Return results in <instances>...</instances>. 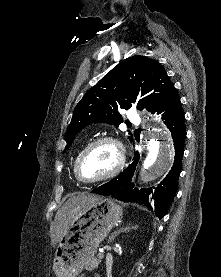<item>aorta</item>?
<instances>
[{
  "instance_id": "obj_1",
  "label": "aorta",
  "mask_w": 221,
  "mask_h": 277,
  "mask_svg": "<svg viewBox=\"0 0 221 277\" xmlns=\"http://www.w3.org/2000/svg\"><path fill=\"white\" fill-rule=\"evenodd\" d=\"M147 156L143 162L141 181L148 183L163 176L171 168L174 158L172 137L160 124L157 136H151L147 144Z\"/></svg>"
}]
</instances>
